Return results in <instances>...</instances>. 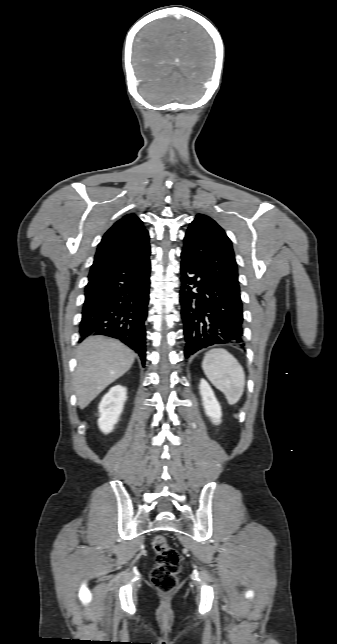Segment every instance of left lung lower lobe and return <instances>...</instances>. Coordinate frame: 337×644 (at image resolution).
I'll return each instance as SVG.
<instances>
[{"mask_svg": "<svg viewBox=\"0 0 337 644\" xmlns=\"http://www.w3.org/2000/svg\"><path fill=\"white\" fill-rule=\"evenodd\" d=\"M180 304L185 357L214 344L244 346L240 296L212 272L182 256Z\"/></svg>", "mask_w": 337, "mask_h": 644, "instance_id": "1", "label": "left lung lower lobe"}]
</instances>
